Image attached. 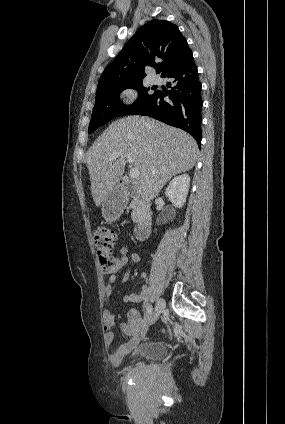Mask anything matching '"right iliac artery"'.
Masks as SVG:
<instances>
[{"instance_id":"right-iliac-artery-1","label":"right iliac artery","mask_w":285,"mask_h":424,"mask_svg":"<svg viewBox=\"0 0 285 424\" xmlns=\"http://www.w3.org/2000/svg\"><path fill=\"white\" fill-rule=\"evenodd\" d=\"M152 310H153V308H152V306L150 305V308H149V314H150V315L152 314Z\"/></svg>"}]
</instances>
